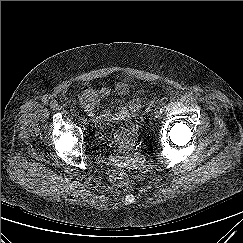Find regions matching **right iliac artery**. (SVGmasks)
Returning <instances> with one entry per match:
<instances>
[{
	"label": "right iliac artery",
	"mask_w": 243,
	"mask_h": 243,
	"mask_svg": "<svg viewBox=\"0 0 243 243\" xmlns=\"http://www.w3.org/2000/svg\"><path fill=\"white\" fill-rule=\"evenodd\" d=\"M74 116H75L76 118H80V114H79V112H76V113L74 114Z\"/></svg>",
	"instance_id": "right-iliac-artery-1"
}]
</instances>
